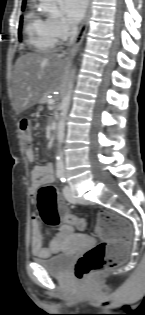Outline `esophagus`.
Returning <instances> with one entry per match:
<instances>
[{
    "instance_id": "obj_1",
    "label": "esophagus",
    "mask_w": 145,
    "mask_h": 315,
    "mask_svg": "<svg viewBox=\"0 0 145 315\" xmlns=\"http://www.w3.org/2000/svg\"><path fill=\"white\" fill-rule=\"evenodd\" d=\"M90 6H91V0L87 1V9H86V14L84 17V20L82 22V25L80 27L79 33L77 35V37L75 38L73 47L70 51V54H73L75 51L78 50V48L80 47L83 38L85 36L86 30H87V25H88V19H89V15H90Z\"/></svg>"
}]
</instances>
